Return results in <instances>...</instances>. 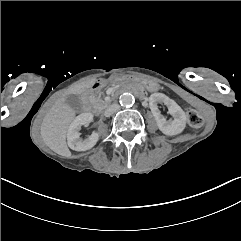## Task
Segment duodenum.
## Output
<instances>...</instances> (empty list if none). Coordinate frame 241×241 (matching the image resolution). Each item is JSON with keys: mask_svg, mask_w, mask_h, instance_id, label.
<instances>
[{"mask_svg": "<svg viewBox=\"0 0 241 241\" xmlns=\"http://www.w3.org/2000/svg\"><path fill=\"white\" fill-rule=\"evenodd\" d=\"M103 85H104L103 82L98 80V81H95L90 86V88L87 90V92L85 93L84 98H83V103H84V107L86 110L91 109L90 96L92 94H94L96 91H98ZM126 92L133 93L141 98L144 97V95H145L144 90L139 87H136V86L122 87V88L118 89L115 92V94L120 95V94L126 93ZM95 111L97 112L98 110H95Z\"/></svg>", "mask_w": 241, "mask_h": 241, "instance_id": "duodenum-1", "label": "duodenum"}]
</instances>
